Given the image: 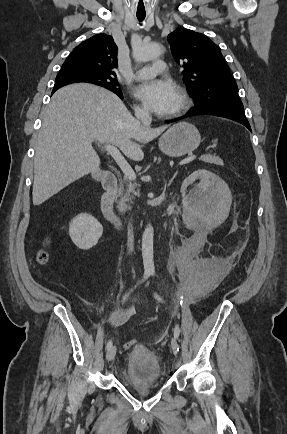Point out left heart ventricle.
Instances as JSON below:
<instances>
[{"label":"left heart ventricle","mask_w":287,"mask_h":434,"mask_svg":"<svg viewBox=\"0 0 287 434\" xmlns=\"http://www.w3.org/2000/svg\"><path fill=\"white\" fill-rule=\"evenodd\" d=\"M179 103H180V100H179V97H178V99L176 101V104H175V107H174V110L179 106Z\"/></svg>","instance_id":"left-heart-ventricle-1"}]
</instances>
